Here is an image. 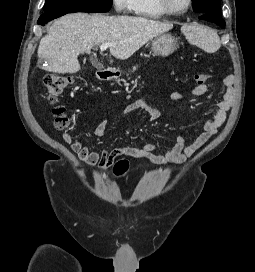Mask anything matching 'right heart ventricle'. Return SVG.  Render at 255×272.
<instances>
[{
    "label": "right heart ventricle",
    "mask_w": 255,
    "mask_h": 272,
    "mask_svg": "<svg viewBox=\"0 0 255 272\" xmlns=\"http://www.w3.org/2000/svg\"><path fill=\"white\" fill-rule=\"evenodd\" d=\"M134 12L149 18H161L166 15L160 9L157 0H134Z\"/></svg>",
    "instance_id": "1"
}]
</instances>
